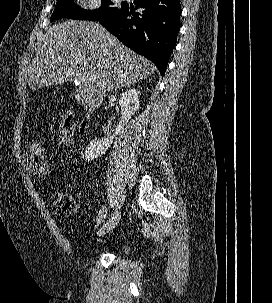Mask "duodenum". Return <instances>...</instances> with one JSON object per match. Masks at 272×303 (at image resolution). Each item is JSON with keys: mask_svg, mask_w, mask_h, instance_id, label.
Listing matches in <instances>:
<instances>
[{"mask_svg": "<svg viewBox=\"0 0 272 303\" xmlns=\"http://www.w3.org/2000/svg\"><path fill=\"white\" fill-rule=\"evenodd\" d=\"M86 130H87V122H86V120L85 121H83L82 123H81V125H80V129H79V131H80V134H85L86 133Z\"/></svg>", "mask_w": 272, "mask_h": 303, "instance_id": "1", "label": "duodenum"}]
</instances>
